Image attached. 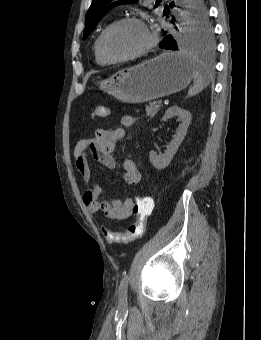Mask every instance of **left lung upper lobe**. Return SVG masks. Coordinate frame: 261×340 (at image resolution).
I'll return each instance as SVG.
<instances>
[{"label":"left lung upper lobe","instance_id":"obj_1","mask_svg":"<svg viewBox=\"0 0 261 340\" xmlns=\"http://www.w3.org/2000/svg\"><path fill=\"white\" fill-rule=\"evenodd\" d=\"M135 1L137 0H92V4L85 18L86 27L83 32V40L93 31L108 10L114 6ZM164 34H166V32H164ZM175 38L178 49L194 48L203 51L213 50V30L202 0H185L183 25L180 31L175 34Z\"/></svg>","mask_w":261,"mask_h":340}]
</instances>
